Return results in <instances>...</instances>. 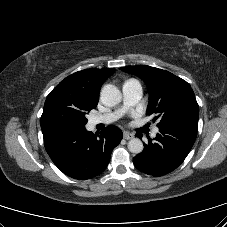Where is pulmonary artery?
<instances>
[{
	"label": "pulmonary artery",
	"mask_w": 227,
	"mask_h": 227,
	"mask_svg": "<svg viewBox=\"0 0 227 227\" xmlns=\"http://www.w3.org/2000/svg\"><path fill=\"white\" fill-rule=\"evenodd\" d=\"M122 94H123L122 108L114 112L94 116L90 119V124L92 126L98 124H109L119 119L127 109L133 107L140 101L143 94V87L138 80L130 79L124 82L122 86ZM158 131L159 129L155 127L152 131V136H155L158 133Z\"/></svg>",
	"instance_id": "obj_1"
}]
</instances>
